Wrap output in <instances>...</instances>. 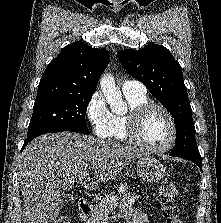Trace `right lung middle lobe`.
<instances>
[{
  "label": "right lung middle lobe",
  "mask_w": 221,
  "mask_h": 223,
  "mask_svg": "<svg viewBox=\"0 0 221 223\" xmlns=\"http://www.w3.org/2000/svg\"><path fill=\"white\" fill-rule=\"evenodd\" d=\"M91 98L92 95H72L36 100L27 139L61 131L89 134L85 114Z\"/></svg>",
  "instance_id": "dd1d6c3e"
}]
</instances>
